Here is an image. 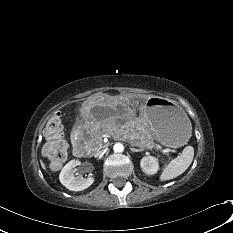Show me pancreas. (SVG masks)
I'll return each instance as SVG.
<instances>
[{"label":"pancreas","mask_w":233,"mask_h":233,"mask_svg":"<svg viewBox=\"0 0 233 233\" xmlns=\"http://www.w3.org/2000/svg\"><path fill=\"white\" fill-rule=\"evenodd\" d=\"M87 129L90 133L87 145L92 152H96L103 147L104 134L114 135L141 148L152 149L155 147L154 136L150 132L147 122L141 119H134L131 128L124 135L121 134V131L112 121L91 123L87 125Z\"/></svg>","instance_id":"1"}]
</instances>
